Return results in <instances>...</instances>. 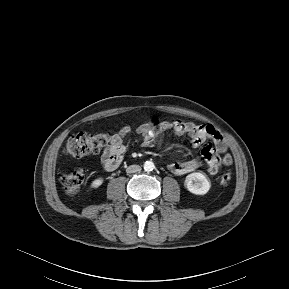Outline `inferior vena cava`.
Instances as JSON below:
<instances>
[{
    "instance_id": "obj_1",
    "label": "inferior vena cava",
    "mask_w": 289,
    "mask_h": 289,
    "mask_svg": "<svg viewBox=\"0 0 289 289\" xmlns=\"http://www.w3.org/2000/svg\"><path fill=\"white\" fill-rule=\"evenodd\" d=\"M140 171H141V167L139 165H130L126 169L127 173H136V172H140Z\"/></svg>"
}]
</instances>
